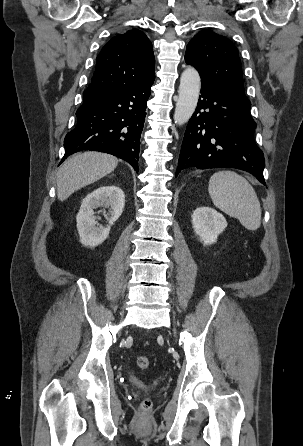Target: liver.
Wrapping results in <instances>:
<instances>
[{"instance_id": "obj_1", "label": "liver", "mask_w": 303, "mask_h": 446, "mask_svg": "<svg viewBox=\"0 0 303 446\" xmlns=\"http://www.w3.org/2000/svg\"><path fill=\"white\" fill-rule=\"evenodd\" d=\"M118 164L112 155L94 151L78 153L66 160L57 173V197L65 201L75 191L111 173Z\"/></svg>"}]
</instances>
